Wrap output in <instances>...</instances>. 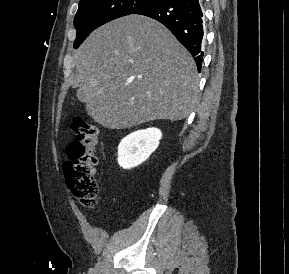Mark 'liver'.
<instances>
[{"label":"liver","mask_w":289,"mask_h":274,"mask_svg":"<svg viewBox=\"0 0 289 274\" xmlns=\"http://www.w3.org/2000/svg\"><path fill=\"white\" fill-rule=\"evenodd\" d=\"M74 57L70 83L84 91L88 115L104 128L179 121L197 103L193 57L166 27L148 17L129 15L99 27Z\"/></svg>","instance_id":"6515ba94"}]
</instances>
